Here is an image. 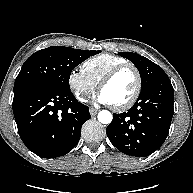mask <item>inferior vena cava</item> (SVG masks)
I'll use <instances>...</instances> for the list:
<instances>
[{
  "mask_svg": "<svg viewBox=\"0 0 193 193\" xmlns=\"http://www.w3.org/2000/svg\"><path fill=\"white\" fill-rule=\"evenodd\" d=\"M79 99L81 101H86V99H88V96H86L85 94H82Z\"/></svg>",
  "mask_w": 193,
  "mask_h": 193,
  "instance_id": "1",
  "label": "inferior vena cava"
}]
</instances>
